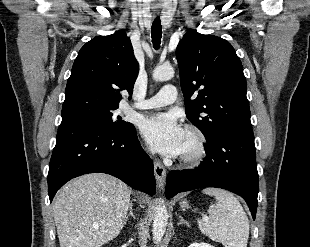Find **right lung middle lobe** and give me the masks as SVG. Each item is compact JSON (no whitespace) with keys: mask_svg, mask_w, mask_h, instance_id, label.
<instances>
[{"mask_svg":"<svg viewBox=\"0 0 310 247\" xmlns=\"http://www.w3.org/2000/svg\"><path fill=\"white\" fill-rule=\"evenodd\" d=\"M117 108H99L93 106H76L66 110H62L61 125L68 124H96L102 126H109L115 131H122L130 127L132 124L129 122L115 121L112 119L113 111Z\"/></svg>","mask_w":310,"mask_h":247,"instance_id":"obj_1","label":"right lung middle lobe"}]
</instances>
